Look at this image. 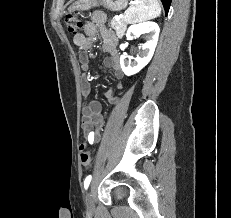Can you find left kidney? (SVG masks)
I'll list each match as a JSON object with an SVG mask.
<instances>
[{
  "instance_id": "5707ae66",
  "label": "left kidney",
  "mask_w": 231,
  "mask_h": 218,
  "mask_svg": "<svg viewBox=\"0 0 231 218\" xmlns=\"http://www.w3.org/2000/svg\"><path fill=\"white\" fill-rule=\"evenodd\" d=\"M160 28L157 23L152 21L142 22L131 25L126 33L127 38L147 33L146 43L140 46V54L134 61L128 59L127 55L120 56V65L125 75L131 76L143 69L151 60L159 37Z\"/></svg>"
}]
</instances>
